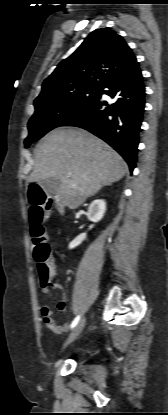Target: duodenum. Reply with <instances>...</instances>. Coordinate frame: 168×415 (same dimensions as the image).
<instances>
[{"label": "duodenum", "instance_id": "duodenum-1", "mask_svg": "<svg viewBox=\"0 0 168 415\" xmlns=\"http://www.w3.org/2000/svg\"><path fill=\"white\" fill-rule=\"evenodd\" d=\"M58 211H59V213L60 214H64V212H65V210H64V208H63V206H61V205H58Z\"/></svg>", "mask_w": 168, "mask_h": 415}]
</instances>
